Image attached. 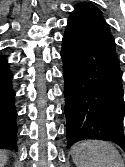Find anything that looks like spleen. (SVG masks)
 Wrapping results in <instances>:
<instances>
[{"instance_id": "3e777b00", "label": "spleen", "mask_w": 125, "mask_h": 167, "mask_svg": "<svg viewBox=\"0 0 125 167\" xmlns=\"http://www.w3.org/2000/svg\"><path fill=\"white\" fill-rule=\"evenodd\" d=\"M70 153L77 167H124L118 150L109 142L81 141L73 145Z\"/></svg>"}]
</instances>
